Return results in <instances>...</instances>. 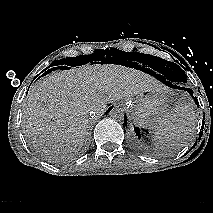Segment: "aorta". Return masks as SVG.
<instances>
[{
	"label": "aorta",
	"mask_w": 213,
	"mask_h": 213,
	"mask_svg": "<svg viewBox=\"0 0 213 213\" xmlns=\"http://www.w3.org/2000/svg\"><path fill=\"white\" fill-rule=\"evenodd\" d=\"M109 115L113 120L122 122L125 117V112L122 108L115 107L110 111Z\"/></svg>",
	"instance_id": "aorta-1"
}]
</instances>
